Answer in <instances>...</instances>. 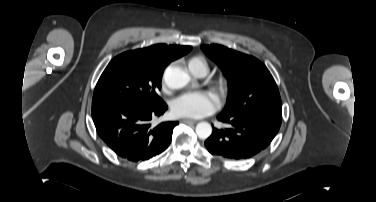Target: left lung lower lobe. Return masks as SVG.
<instances>
[{"label":"left lung lower lobe","mask_w":376,"mask_h":202,"mask_svg":"<svg viewBox=\"0 0 376 202\" xmlns=\"http://www.w3.org/2000/svg\"><path fill=\"white\" fill-rule=\"evenodd\" d=\"M218 120L230 127L214 128L205 146L213 155L234 160L247 159L264 151L281 126V120L255 113L238 116L221 113Z\"/></svg>","instance_id":"0a47b994"}]
</instances>
